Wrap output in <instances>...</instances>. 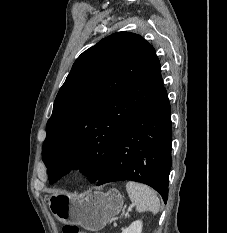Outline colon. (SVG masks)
I'll return each instance as SVG.
<instances>
[{
  "mask_svg": "<svg viewBox=\"0 0 227 233\" xmlns=\"http://www.w3.org/2000/svg\"><path fill=\"white\" fill-rule=\"evenodd\" d=\"M63 233H99V232H89L75 225H68L63 228Z\"/></svg>",
  "mask_w": 227,
  "mask_h": 233,
  "instance_id": "5ec220e1",
  "label": "colon"
}]
</instances>
